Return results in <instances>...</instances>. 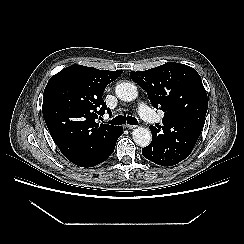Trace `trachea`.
<instances>
[{
	"label": "trachea",
	"mask_w": 244,
	"mask_h": 244,
	"mask_svg": "<svg viewBox=\"0 0 244 244\" xmlns=\"http://www.w3.org/2000/svg\"><path fill=\"white\" fill-rule=\"evenodd\" d=\"M126 122L130 125H138V121L135 117L133 116L126 117L125 115H119L113 118L112 120H110L108 123L112 125H121V124H125Z\"/></svg>",
	"instance_id": "3493384b"
}]
</instances>
